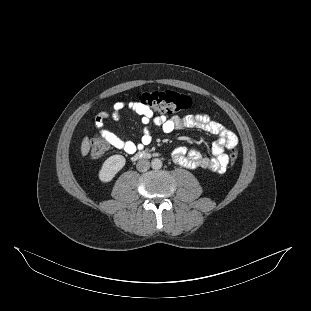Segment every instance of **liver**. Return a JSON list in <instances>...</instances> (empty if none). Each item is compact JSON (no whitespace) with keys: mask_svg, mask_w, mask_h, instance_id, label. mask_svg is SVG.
<instances>
[{"mask_svg":"<svg viewBox=\"0 0 311 311\" xmlns=\"http://www.w3.org/2000/svg\"><path fill=\"white\" fill-rule=\"evenodd\" d=\"M89 149H90V144H89L88 139L86 138L82 143V154L87 155V153L89 152Z\"/></svg>","mask_w":311,"mask_h":311,"instance_id":"6515ba94","label":"liver"}]
</instances>
